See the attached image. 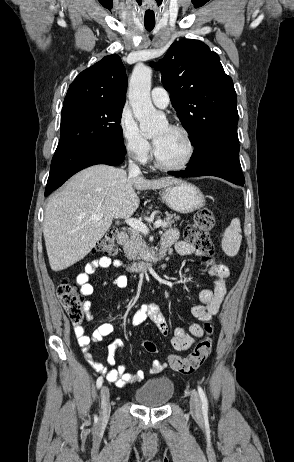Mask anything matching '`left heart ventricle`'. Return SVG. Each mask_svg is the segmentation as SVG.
I'll list each match as a JSON object with an SVG mask.
<instances>
[{
	"mask_svg": "<svg viewBox=\"0 0 294 462\" xmlns=\"http://www.w3.org/2000/svg\"><path fill=\"white\" fill-rule=\"evenodd\" d=\"M157 154L165 164H178L182 162L187 153L188 145L184 135L164 124L152 134Z\"/></svg>",
	"mask_w": 294,
	"mask_h": 462,
	"instance_id": "obj_1",
	"label": "left heart ventricle"
}]
</instances>
